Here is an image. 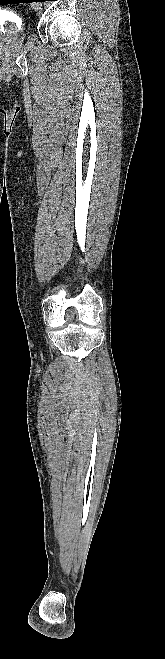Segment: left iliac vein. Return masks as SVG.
Returning <instances> with one entry per match:
<instances>
[{"label":"left iliac vein","instance_id":"left-iliac-vein-1","mask_svg":"<svg viewBox=\"0 0 165 659\" xmlns=\"http://www.w3.org/2000/svg\"><path fill=\"white\" fill-rule=\"evenodd\" d=\"M34 9L38 10L39 7L35 4V5H34Z\"/></svg>","mask_w":165,"mask_h":659}]
</instances>
